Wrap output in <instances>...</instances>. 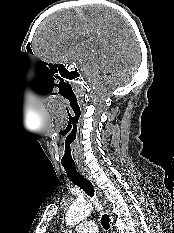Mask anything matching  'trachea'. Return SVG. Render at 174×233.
Returning a JSON list of instances; mask_svg holds the SVG:
<instances>
[{
    "mask_svg": "<svg viewBox=\"0 0 174 233\" xmlns=\"http://www.w3.org/2000/svg\"><path fill=\"white\" fill-rule=\"evenodd\" d=\"M68 178L77 186H79L83 191L90 197L94 196V188L91 182L82 176L75 167H64ZM101 223L104 229H109V216L103 214L101 217Z\"/></svg>",
    "mask_w": 174,
    "mask_h": 233,
    "instance_id": "3493384b",
    "label": "trachea"
}]
</instances>
